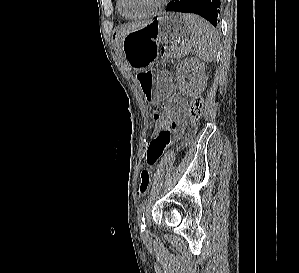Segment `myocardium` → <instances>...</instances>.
<instances>
[{"label": "myocardium", "instance_id": "1", "mask_svg": "<svg viewBox=\"0 0 299 273\" xmlns=\"http://www.w3.org/2000/svg\"><path fill=\"white\" fill-rule=\"evenodd\" d=\"M119 2V11L120 13L128 18V19H132V20H138V19H144V18H148L151 16H154L156 14H158L160 11H162L165 6L167 5V3L169 2V0H161L157 6H155L151 11L141 14V15H129L125 12L124 7H123V0H118Z\"/></svg>", "mask_w": 299, "mask_h": 273}]
</instances>
